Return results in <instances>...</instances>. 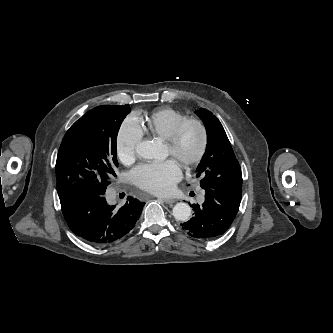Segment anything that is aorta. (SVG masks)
<instances>
[{"mask_svg":"<svg viewBox=\"0 0 333 333\" xmlns=\"http://www.w3.org/2000/svg\"><path fill=\"white\" fill-rule=\"evenodd\" d=\"M136 154L146 159H154L157 157L158 148L153 141L144 140L137 144ZM191 215V207L184 202L177 203L173 207V216L180 221H187Z\"/></svg>","mask_w":333,"mask_h":333,"instance_id":"1","label":"aorta"}]
</instances>
